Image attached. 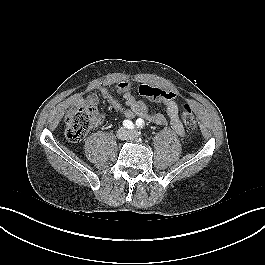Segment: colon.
<instances>
[{
    "label": "colon",
    "instance_id": "5ec220e1",
    "mask_svg": "<svg viewBox=\"0 0 265 265\" xmlns=\"http://www.w3.org/2000/svg\"><path fill=\"white\" fill-rule=\"evenodd\" d=\"M140 96L155 101H163L176 96L166 90L142 84L138 87ZM99 111L94 104L86 103L77 109L68 112L65 118L66 136L71 142L81 141L92 129L99 119ZM181 119L184 126L192 130L196 126V120L191 107L184 104L181 111Z\"/></svg>",
    "mask_w": 265,
    "mask_h": 265
}]
</instances>
